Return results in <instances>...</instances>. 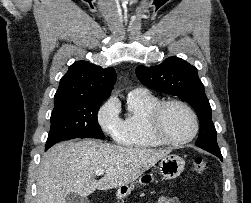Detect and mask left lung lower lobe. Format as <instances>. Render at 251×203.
I'll return each mask as SVG.
<instances>
[{"mask_svg": "<svg viewBox=\"0 0 251 203\" xmlns=\"http://www.w3.org/2000/svg\"><path fill=\"white\" fill-rule=\"evenodd\" d=\"M210 153L216 155L218 158H220L222 160L221 152L220 153L219 152H210Z\"/></svg>", "mask_w": 251, "mask_h": 203, "instance_id": "0a47b994", "label": "left lung lower lobe"}]
</instances>
